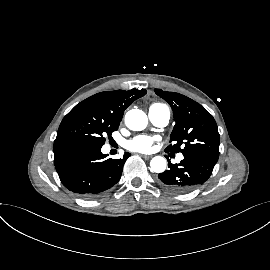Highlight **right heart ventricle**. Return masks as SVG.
Masks as SVG:
<instances>
[{
  "label": "right heart ventricle",
  "instance_id": "e07e8e85",
  "mask_svg": "<svg viewBox=\"0 0 270 270\" xmlns=\"http://www.w3.org/2000/svg\"><path fill=\"white\" fill-rule=\"evenodd\" d=\"M151 108H167V107L163 104L155 103L151 105Z\"/></svg>",
  "mask_w": 270,
  "mask_h": 270
}]
</instances>
